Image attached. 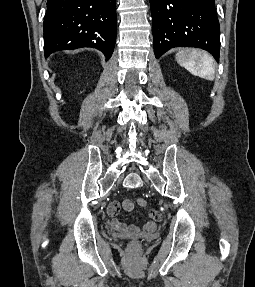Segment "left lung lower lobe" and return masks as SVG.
<instances>
[{
    "label": "left lung lower lobe",
    "instance_id": "1",
    "mask_svg": "<svg viewBox=\"0 0 255 287\" xmlns=\"http://www.w3.org/2000/svg\"><path fill=\"white\" fill-rule=\"evenodd\" d=\"M154 52L197 47L219 61L220 26L214 0H150Z\"/></svg>",
    "mask_w": 255,
    "mask_h": 287
}]
</instances>
